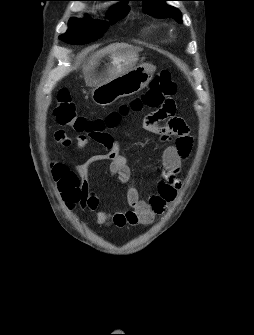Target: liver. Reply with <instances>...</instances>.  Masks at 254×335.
Segmentation results:
<instances>
[{"mask_svg": "<svg viewBox=\"0 0 254 335\" xmlns=\"http://www.w3.org/2000/svg\"><path fill=\"white\" fill-rule=\"evenodd\" d=\"M126 46H129L127 44H123V43H115V44H111V45H108L107 47L103 48V49H100L99 51L95 52L90 58H89V61H88V66L84 68V72H85V75L87 76L88 75V71L89 69L95 65V63L103 58L104 56L108 55V54H112L114 52H116L119 48H122V47H126Z\"/></svg>", "mask_w": 254, "mask_h": 335, "instance_id": "liver-1", "label": "liver"}]
</instances>
